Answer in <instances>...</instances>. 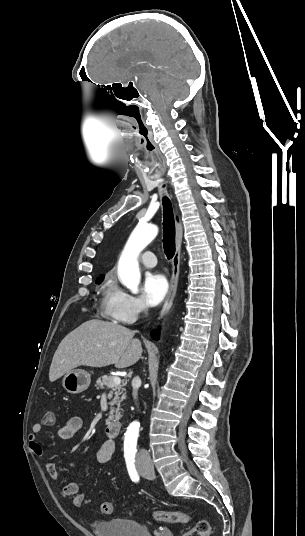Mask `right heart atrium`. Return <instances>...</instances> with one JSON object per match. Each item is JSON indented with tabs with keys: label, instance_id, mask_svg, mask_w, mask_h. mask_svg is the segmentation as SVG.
<instances>
[{
	"label": "right heart atrium",
	"instance_id": "obj_1",
	"mask_svg": "<svg viewBox=\"0 0 305 536\" xmlns=\"http://www.w3.org/2000/svg\"><path fill=\"white\" fill-rule=\"evenodd\" d=\"M147 311L148 305L143 299L135 297L118 287H114L105 306V313L122 324L133 323Z\"/></svg>",
	"mask_w": 305,
	"mask_h": 536
}]
</instances>
